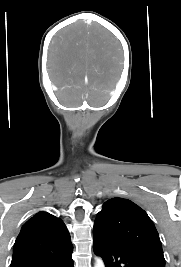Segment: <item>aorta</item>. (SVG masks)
<instances>
[{
  "instance_id": "aorta-1",
  "label": "aorta",
  "mask_w": 181,
  "mask_h": 267,
  "mask_svg": "<svg viewBox=\"0 0 181 267\" xmlns=\"http://www.w3.org/2000/svg\"><path fill=\"white\" fill-rule=\"evenodd\" d=\"M95 267H104V262L100 257H97L95 260Z\"/></svg>"
}]
</instances>
